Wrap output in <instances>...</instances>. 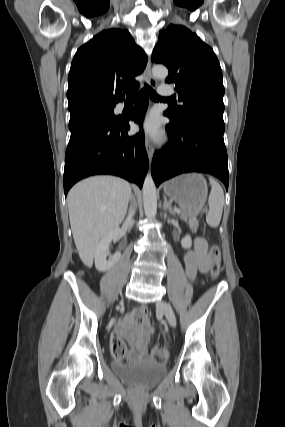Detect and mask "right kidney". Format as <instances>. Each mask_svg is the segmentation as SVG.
I'll list each match as a JSON object with an SVG mask.
<instances>
[{
  "label": "right kidney",
  "mask_w": 285,
  "mask_h": 427,
  "mask_svg": "<svg viewBox=\"0 0 285 427\" xmlns=\"http://www.w3.org/2000/svg\"><path fill=\"white\" fill-rule=\"evenodd\" d=\"M120 235V230L115 229L109 232L107 235H105L100 242L97 244L95 252H94V258H95V267L99 272H105L109 269H111L114 264H116L120 257V253L114 254L109 260H107V250L109 248V245L111 241H116Z\"/></svg>",
  "instance_id": "ca27d5eb"
}]
</instances>
